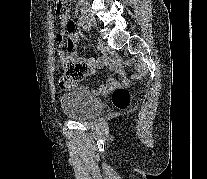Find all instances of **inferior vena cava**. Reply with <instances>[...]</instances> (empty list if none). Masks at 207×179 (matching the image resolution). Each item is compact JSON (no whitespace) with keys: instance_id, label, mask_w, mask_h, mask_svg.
<instances>
[{"instance_id":"1","label":"inferior vena cava","mask_w":207,"mask_h":179,"mask_svg":"<svg viewBox=\"0 0 207 179\" xmlns=\"http://www.w3.org/2000/svg\"><path fill=\"white\" fill-rule=\"evenodd\" d=\"M78 1L82 3V2H85V1H88V0H78Z\"/></svg>"}]
</instances>
